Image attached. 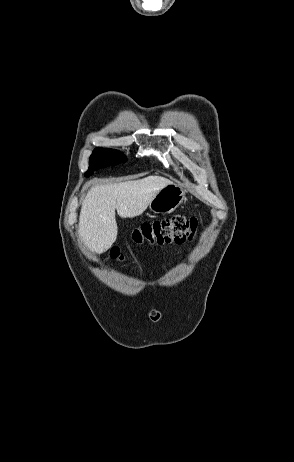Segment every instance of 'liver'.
<instances>
[{
    "mask_svg": "<svg viewBox=\"0 0 294 462\" xmlns=\"http://www.w3.org/2000/svg\"><path fill=\"white\" fill-rule=\"evenodd\" d=\"M172 184L161 176L97 185L87 193L79 217V237L93 252L107 251L117 238L115 210L121 218L141 215L158 191Z\"/></svg>",
    "mask_w": 294,
    "mask_h": 462,
    "instance_id": "6515ba94",
    "label": "liver"
}]
</instances>
